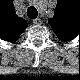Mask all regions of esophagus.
I'll return each mask as SVG.
<instances>
[{
    "instance_id": "obj_1",
    "label": "esophagus",
    "mask_w": 80,
    "mask_h": 80,
    "mask_svg": "<svg viewBox=\"0 0 80 80\" xmlns=\"http://www.w3.org/2000/svg\"><path fill=\"white\" fill-rule=\"evenodd\" d=\"M33 23L36 24V25H40V24H42V20L39 19V18H36V19L33 20Z\"/></svg>"
}]
</instances>
